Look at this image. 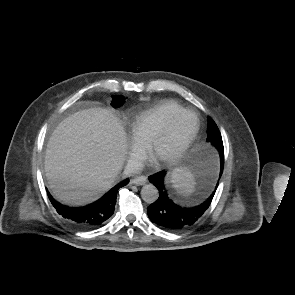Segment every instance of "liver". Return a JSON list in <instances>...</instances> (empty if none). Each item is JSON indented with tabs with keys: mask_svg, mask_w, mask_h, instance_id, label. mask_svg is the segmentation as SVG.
<instances>
[{
	"mask_svg": "<svg viewBox=\"0 0 295 295\" xmlns=\"http://www.w3.org/2000/svg\"><path fill=\"white\" fill-rule=\"evenodd\" d=\"M127 153L117 117L104 108L78 111L53 131L44 169L53 195L64 204L84 206L113 185Z\"/></svg>",
	"mask_w": 295,
	"mask_h": 295,
	"instance_id": "liver-1",
	"label": "liver"
}]
</instances>
